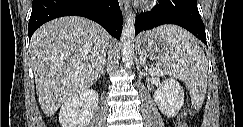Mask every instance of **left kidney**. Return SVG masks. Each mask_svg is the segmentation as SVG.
Listing matches in <instances>:
<instances>
[{"label":"left kidney","instance_id":"left-kidney-1","mask_svg":"<svg viewBox=\"0 0 243 127\" xmlns=\"http://www.w3.org/2000/svg\"><path fill=\"white\" fill-rule=\"evenodd\" d=\"M153 97L160 111L167 117L176 116L184 104L183 88L174 79H165Z\"/></svg>","mask_w":243,"mask_h":127}]
</instances>
